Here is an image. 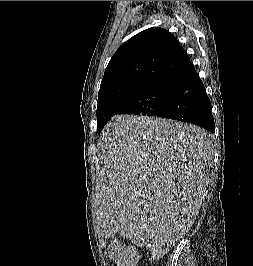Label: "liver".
Listing matches in <instances>:
<instances>
[{"label":"liver","instance_id":"liver-1","mask_svg":"<svg viewBox=\"0 0 253 266\" xmlns=\"http://www.w3.org/2000/svg\"><path fill=\"white\" fill-rule=\"evenodd\" d=\"M99 145V237L119 234L154 256L165 254L199 214L211 135L160 117L118 115L105 126Z\"/></svg>","mask_w":253,"mask_h":266}]
</instances>
